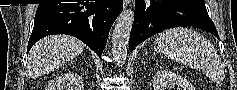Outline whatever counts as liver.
<instances>
[{"label": "liver", "mask_w": 237, "mask_h": 90, "mask_svg": "<svg viewBox=\"0 0 237 90\" xmlns=\"http://www.w3.org/2000/svg\"><path fill=\"white\" fill-rule=\"evenodd\" d=\"M85 44L73 36H46L32 46L29 52L28 72L41 76L53 72L82 54Z\"/></svg>", "instance_id": "1"}]
</instances>
